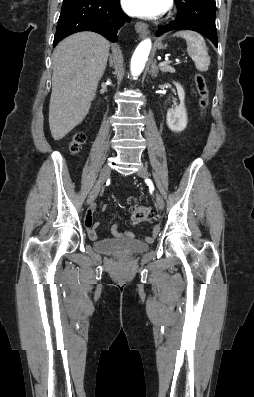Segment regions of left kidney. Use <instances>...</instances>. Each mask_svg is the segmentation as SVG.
<instances>
[{
  "label": "left kidney",
  "instance_id": "5707ae66",
  "mask_svg": "<svg viewBox=\"0 0 254 397\" xmlns=\"http://www.w3.org/2000/svg\"><path fill=\"white\" fill-rule=\"evenodd\" d=\"M180 100V105L174 109H169L166 116V121L169 129L174 132H181L187 126V113L184 104L185 92L183 87L174 82Z\"/></svg>",
  "mask_w": 254,
  "mask_h": 397
}]
</instances>
